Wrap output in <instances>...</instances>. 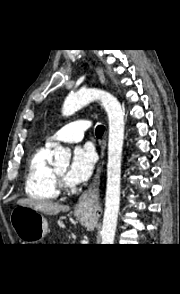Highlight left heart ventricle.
I'll use <instances>...</instances> for the list:
<instances>
[{
  "mask_svg": "<svg viewBox=\"0 0 180 294\" xmlns=\"http://www.w3.org/2000/svg\"><path fill=\"white\" fill-rule=\"evenodd\" d=\"M57 172L66 179L67 165L56 168Z\"/></svg>",
  "mask_w": 180,
  "mask_h": 294,
  "instance_id": "obj_1",
  "label": "left heart ventricle"
}]
</instances>
